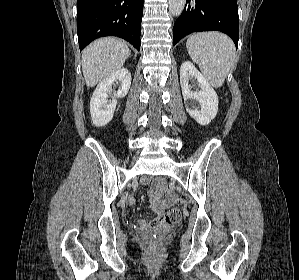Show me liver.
Returning <instances> with one entry per match:
<instances>
[{
	"label": "liver",
	"instance_id": "liver-1",
	"mask_svg": "<svg viewBox=\"0 0 299 280\" xmlns=\"http://www.w3.org/2000/svg\"><path fill=\"white\" fill-rule=\"evenodd\" d=\"M129 55L128 45L117 38L106 37L91 43L82 53V71L86 85L93 87L121 69Z\"/></svg>",
	"mask_w": 299,
	"mask_h": 280
}]
</instances>
